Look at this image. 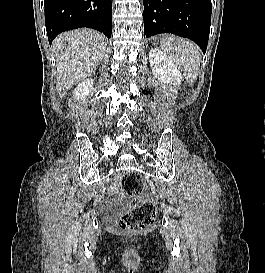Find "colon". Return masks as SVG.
Returning <instances> with one entry per match:
<instances>
[{"mask_svg":"<svg viewBox=\"0 0 265 273\" xmlns=\"http://www.w3.org/2000/svg\"><path fill=\"white\" fill-rule=\"evenodd\" d=\"M121 186L131 201L117 222L118 229L123 232H143L152 228L157 212L150 200L140 196L144 189L141 175L137 172L125 173Z\"/></svg>","mask_w":265,"mask_h":273,"instance_id":"obj_1","label":"colon"}]
</instances>
